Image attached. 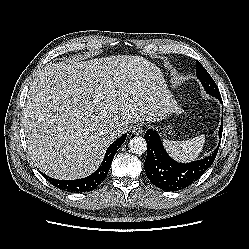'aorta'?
<instances>
[{"label": "aorta", "mask_w": 249, "mask_h": 249, "mask_svg": "<svg viewBox=\"0 0 249 249\" xmlns=\"http://www.w3.org/2000/svg\"><path fill=\"white\" fill-rule=\"evenodd\" d=\"M130 151L134 154H143L147 150V142L141 136L132 138L129 142Z\"/></svg>", "instance_id": "aorta-1"}]
</instances>
